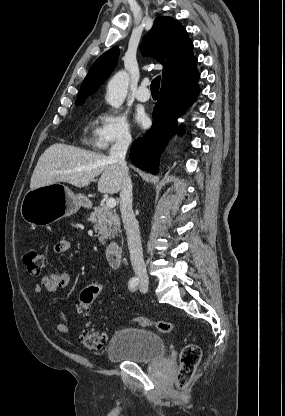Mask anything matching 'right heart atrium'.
<instances>
[{"label":"right heart atrium","instance_id":"d8ad5b80","mask_svg":"<svg viewBox=\"0 0 285 416\" xmlns=\"http://www.w3.org/2000/svg\"><path fill=\"white\" fill-rule=\"evenodd\" d=\"M129 138L130 129L126 119L105 108L95 115L86 142L97 151H106L111 146L125 144Z\"/></svg>","mask_w":285,"mask_h":416}]
</instances>
